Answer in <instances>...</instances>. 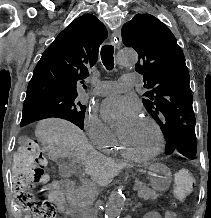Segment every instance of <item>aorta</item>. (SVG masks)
Masks as SVG:
<instances>
[{"label":"aorta","mask_w":211,"mask_h":218,"mask_svg":"<svg viewBox=\"0 0 211 218\" xmlns=\"http://www.w3.org/2000/svg\"><path fill=\"white\" fill-rule=\"evenodd\" d=\"M138 55L134 50H121L118 52L116 61L122 66L135 64ZM125 203V196L121 192H112L108 199L105 210V218H119Z\"/></svg>","instance_id":"1"}]
</instances>
